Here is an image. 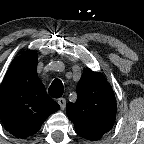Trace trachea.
Wrapping results in <instances>:
<instances>
[{
    "label": "trachea",
    "mask_w": 144,
    "mask_h": 144,
    "mask_svg": "<svg viewBox=\"0 0 144 144\" xmlns=\"http://www.w3.org/2000/svg\"><path fill=\"white\" fill-rule=\"evenodd\" d=\"M64 87L59 79H55L48 89V93L53 98H60L63 95Z\"/></svg>",
    "instance_id": "trachea-1"
}]
</instances>
